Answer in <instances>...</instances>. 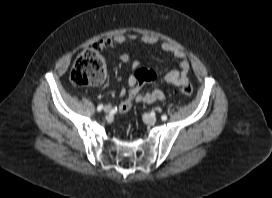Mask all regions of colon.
Instances as JSON below:
<instances>
[{
	"instance_id": "1",
	"label": "colon",
	"mask_w": 272,
	"mask_h": 198,
	"mask_svg": "<svg viewBox=\"0 0 272 198\" xmlns=\"http://www.w3.org/2000/svg\"><path fill=\"white\" fill-rule=\"evenodd\" d=\"M106 72V61L97 50L87 49L82 51L76 58L70 73V79L76 86H88L100 83ZM138 75L151 77L155 74L152 69H140ZM179 93L183 97L192 94V87L185 85L180 88Z\"/></svg>"
}]
</instances>
